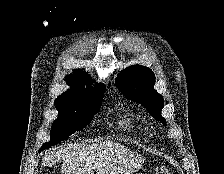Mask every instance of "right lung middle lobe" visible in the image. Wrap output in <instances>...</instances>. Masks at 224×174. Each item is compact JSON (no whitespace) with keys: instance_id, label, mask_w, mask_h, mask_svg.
Masks as SVG:
<instances>
[{"instance_id":"1","label":"right lung middle lobe","mask_w":224,"mask_h":174,"mask_svg":"<svg viewBox=\"0 0 224 174\" xmlns=\"http://www.w3.org/2000/svg\"><path fill=\"white\" fill-rule=\"evenodd\" d=\"M100 104L101 99L56 105L58 118L52 124L50 141L44 143L40 151L50 148L86 127L92 120L94 113H97Z\"/></svg>"}]
</instances>
